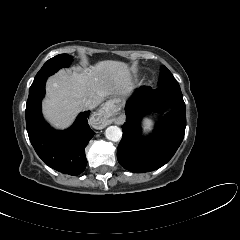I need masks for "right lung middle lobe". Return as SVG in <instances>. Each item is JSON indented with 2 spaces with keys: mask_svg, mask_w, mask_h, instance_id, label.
I'll return each mask as SVG.
<instances>
[{
  "mask_svg": "<svg viewBox=\"0 0 240 240\" xmlns=\"http://www.w3.org/2000/svg\"><path fill=\"white\" fill-rule=\"evenodd\" d=\"M72 62V56L67 54H60L49 59L37 73L30 89L35 88L43 80L47 79L50 75H53L62 67H68Z\"/></svg>",
  "mask_w": 240,
  "mask_h": 240,
  "instance_id": "dd1d6c3e",
  "label": "right lung middle lobe"
}]
</instances>
